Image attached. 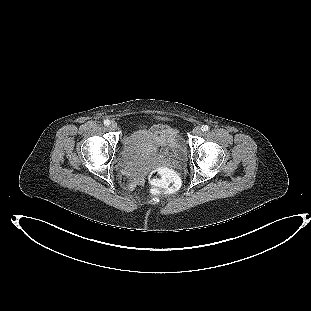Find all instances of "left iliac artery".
Returning a JSON list of instances; mask_svg holds the SVG:
<instances>
[{
	"instance_id": "obj_1",
	"label": "left iliac artery",
	"mask_w": 311,
	"mask_h": 311,
	"mask_svg": "<svg viewBox=\"0 0 311 311\" xmlns=\"http://www.w3.org/2000/svg\"><path fill=\"white\" fill-rule=\"evenodd\" d=\"M202 131L206 132L209 130V126L208 125H202Z\"/></svg>"
}]
</instances>
